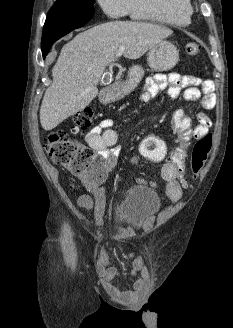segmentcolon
Returning a JSON list of instances; mask_svg holds the SVG:
<instances>
[{
    "label": "colon",
    "instance_id": "5ec220e1",
    "mask_svg": "<svg viewBox=\"0 0 233 328\" xmlns=\"http://www.w3.org/2000/svg\"><path fill=\"white\" fill-rule=\"evenodd\" d=\"M186 52L195 56L200 52V45L190 42L186 45ZM93 118L94 113L90 108L77 112L72 117V133L76 134L88 129ZM171 125L178 135L179 144L171 150L169 155L165 143L155 135H149L142 140L140 152L153 162L168 159L181 174L182 184L188 186L184 177L187 160L186 146L193 137L194 127L191 119L181 110L173 113ZM44 147L52 162L65 167L84 182H93L102 178L103 165L97 160L94 151L75 141L67 132L50 131L44 138ZM211 148L212 137L210 134L197 139L190 156V170L193 175L196 176L202 170L208 161Z\"/></svg>",
    "mask_w": 233,
    "mask_h": 328
}]
</instances>
